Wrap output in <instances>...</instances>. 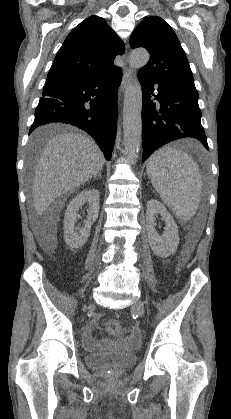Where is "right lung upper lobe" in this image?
Listing matches in <instances>:
<instances>
[{"label":"right lung upper lobe","instance_id":"1","mask_svg":"<svg viewBox=\"0 0 231 419\" xmlns=\"http://www.w3.org/2000/svg\"><path fill=\"white\" fill-rule=\"evenodd\" d=\"M124 51V43L107 22L101 17L90 16L67 36L44 86L110 73L119 68L114 66L113 61Z\"/></svg>","mask_w":231,"mask_h":419}]
</instances>
